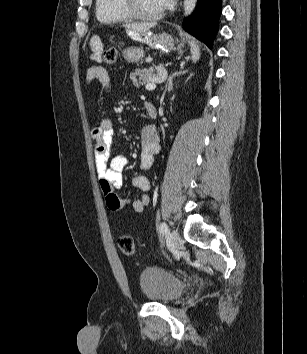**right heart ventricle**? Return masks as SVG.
Returning <instances> with one entry per match:
<instances>
[{
	"instance_id": "e07e8e85",
	"label": "right heart ventricle",
	"mask_w": 307,
	"mask_h": 354,
	"mask_svg": "<svg viewBox=\"0 0 307 354\" xmlns=\"http://www.w3.org/2000/svg\"><path fill=\"white\" fill-rule=\"evenodd\" d=\"M95 14L97 20L103 24L126 22L131 19L122 10L119 0H96Z\"/></svg>"
}]
</instances>
